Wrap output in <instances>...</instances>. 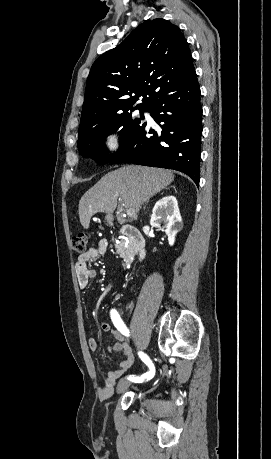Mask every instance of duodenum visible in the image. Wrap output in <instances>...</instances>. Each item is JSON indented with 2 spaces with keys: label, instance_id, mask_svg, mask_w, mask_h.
I'll use <instances>...</instances> for the list:
<instances>
[{
  "label": "duodenum",
  "instance_id": "1",
  "mask_svg": "<svg viewBox=\"0 0 271 459\" xmlns=\"http://www.w3.org/2000/svg\"><path fill=\"white\" fill-rule=\"evenodd\" d=\"M120 232L133 244L137 258L142 260L145 256V239L140 230L132 225L119 222Z\"/></svg>",
  "mask_w": 271,
  "mask_h": 459
}]
</instances>
